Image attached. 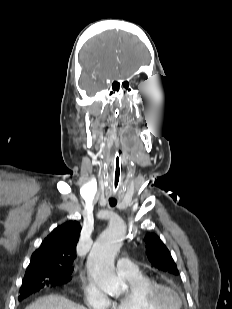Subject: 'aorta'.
Returning a JSON list of instances; mask_svg holds the SVG:
<instances>
[{
  "label": "aorta",
  "mask_w": 232,
  "mask_h": 309,
  "mask_svg": "<svg viewBox=\"0 0 232 309\" xmlns=\"http://www.w3.org/2000/svg\"><path fill=\"white\" fill-rule=\"evenodd\" d=\"M125 235L123 222L111 223L95 241L87 259L89 274L96 284L112 297H119L126 283L114 269V259Z\"/></svg>",
  "instance_id": "obj_1"
}]
</instances>
